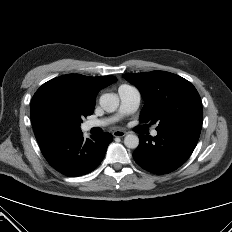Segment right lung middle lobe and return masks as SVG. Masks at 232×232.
<instances>
[{"label": "right lung middle lobe", "instance_id": "right-lung-middle-lobe-1", "mask_svg": "<svg viewBox=\"0 0 232 232\" xmlns=\"http://www.w3.org/2000/svg\"><path fill=\"white\" fill-rule=\"evenodd\" d=\"M91 115L70 94L48 95L38 108V121L45 132L78 131L82 117Z\"/></svg>", "mask_w": 232, "mask_h": 232}]
</instances>
